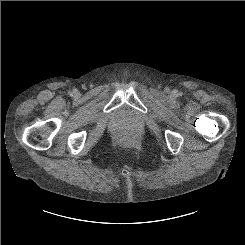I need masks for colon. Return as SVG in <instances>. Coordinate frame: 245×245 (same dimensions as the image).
I'll use <instances>...</instances> for the list:
<instances>
[{
    "label": "colon",
    "mask_w": 245,
    "mask_h": 245,
    "mask_svg": "<svg viewBox=\"0 0 245 245\" xmlns=\"http://www.w3.org/2000/svg\"><path fill=\"white\" fill-rule=\"evenodd\" d=\"M118 139L121 141L129 140V133L127 130H121L118 134Z\"/></svg>",
    "instance_id": "1"
}]
</instances>
